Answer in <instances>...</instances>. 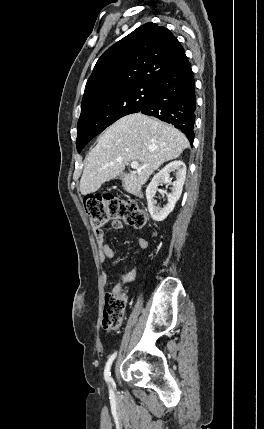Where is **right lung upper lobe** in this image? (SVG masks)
<instances>
[{
    "label": "right lung upper lobe",
    "instance_id": "right-lung-upper-lobe-1",
    "mask_svg": "<svg viewBox=\"0 0 264 429\" xmlns=\"http://www.w3.org/2000/svg\"><path fill=\"white\" fill-rule=\"evenodd\" d=\"M184 55L183 47L167 28L146 23L99 58L82 104L132 85L156 84Z\"/></svg>",
    "mask_w": 264,
    "mask_h": 429
}]
</instances>
